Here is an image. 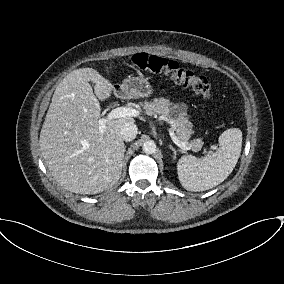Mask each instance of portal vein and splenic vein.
I'll use <instances>...</instances> for the list:
<instances>
[{
    "label": "portal vein and splenic vein",
    "mask_w": 284,
    "mask_h": 284,
    "mask_svg": "<svg viewBox=\"0 0 284 284\" xmlns=\"http://www.w3.org/2000/svg\"><path fill=\"white\" fill-rule=\"evenodd\" d=\"M139 115V111L133 109V108H130V107H118V108H115L113 110H111L107 116L105 118H102L100 119L99 121V132L100 134H103L104 131H105V125L108 121H111L113 119H117V118H123V117H136ZM169 134H170V137L172 139V141L178 146L180 147L181 149L183 150H190L191 149V146H188L185 142H182L181 140H179L177 138V136L175 135L174 133V130L173 129H170L169 130ZM210 149H215L214 146H212Z\"/></svg>",
    "instance_id": "18ae733b"
}]
</instances>
